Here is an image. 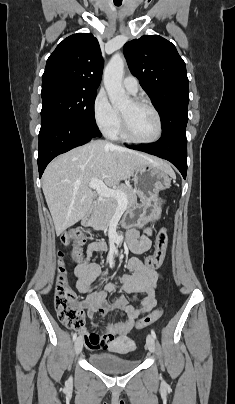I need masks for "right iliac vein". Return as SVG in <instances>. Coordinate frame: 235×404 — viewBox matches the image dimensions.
<instances>
[{"label": "right iliac vein", "mask_w": 235, "mask_h": 404, "mask_svg": "<svg viewBox=\"0 0 235 404\" xmlns=\"http://www.w3.org/2000/svg\"><path fill=\"white\" fill-rule=\"evenodd\" d=\"M83 348V340L81 337L77 338L75 341V352L76 354H80Z\"/></svg>", "instance_id": "63e3f726"}]
</instances>
